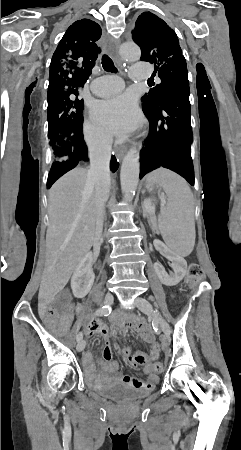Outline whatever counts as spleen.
<instances>
[{
	"mask_svg": "<svg viewBox=\"0 0 241 450\" xmlns=\"http://www.w3.org/2000/svg\"><path fill=\"white\" fill-rule=\"evenodd\" d=\"M161 186L167 194L168 204L158 216V228L168 248L177 256H189L195 244L193 218L194 198L184 178L159 168L146 176V188Z\"/></svg>",
	"mask_w": 241,
	"mask_h": 450,
	"instance_id": "obj_1",
	"label": "spleen"
}]
</instances>
